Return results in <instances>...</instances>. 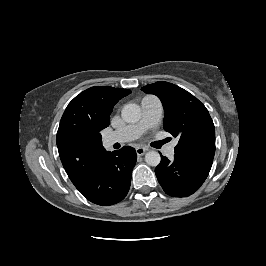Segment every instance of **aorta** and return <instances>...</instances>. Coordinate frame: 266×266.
<instances>
[{
	"label": "aorta",
	"mask_w": 266,
	"mask_h": 266,
	"mask_svg": "<svg viewBox=\"0 0 266 266\" xmlns=\"http://www.w3.org/2000/svg\"><path fill=\"white\" fill-rule=\"evenodd\" d=\"M123 120L127 123H136L141 118V109L137 104H126L121 112ZM161 161V156L156 151H149L145 154V162L150 166H157Z\"/></svg>",
	"instance_id": "762f6f07"
}]
</instances>
